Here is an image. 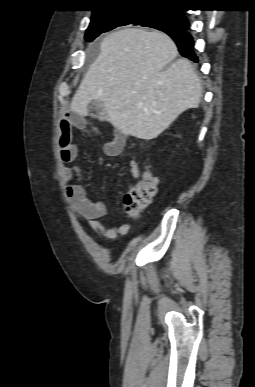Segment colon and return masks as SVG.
Wrapping results in <instances>:
<instances>
[{
  "label": "colon",
  "instance_id": "1",
  "mask_svg": "<svg viewBox=\"0 0 255 387\" xmlns=\"http://www.w3.org/2000/svg\"><path fill=\"white\" fill-rule=\"evenodd\" d=\"M158 180L150 168H146L141 179L129 190L124 199L125 212L131 218H138L152 202Z\"/></svg>",
  "mask_w": 255,
  "mask_h": 387
}]
</instances>
